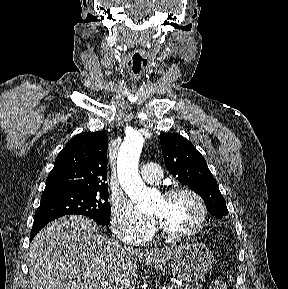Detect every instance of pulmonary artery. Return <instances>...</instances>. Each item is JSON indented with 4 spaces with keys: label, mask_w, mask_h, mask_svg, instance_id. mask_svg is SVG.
Wrapping results in <instances>:
<instances>
[{
    "label": "pulmonary artery",
    "mask_w": 288,
    "mask_h": 289,
    "mask_svg": "<svg viewBox=\"0 0 288 289\" xmlns=\"http://www.w3.org/2000/svg\"><path fill=\"white\" fill-rule=\"evenodd\" d=\"M141 177L149 184H156L162 178V169L156 163H147L141 167Z\"/></svg>",
    "instance_id": "1"
}]
</instances>
